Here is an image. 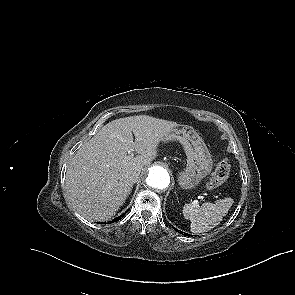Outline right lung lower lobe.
<instances>
[{"label": "right lung lower lobe", "mask_w": 295, "mask_h": 295, "mask_svg": "<svg viewBox=\"0 0 295 295\" xmlns=\"http://www.w3.org/2000/svg\"><path fill=\"white\" fill-rule=\"evenodd\" d=\"M124 216V214L123 215H121V216H119V217H117L116 219H114L113 221H118V220H120L122 217Z\"/></svg>", "instance_id": "98d812e1"}]
</instances>
